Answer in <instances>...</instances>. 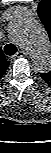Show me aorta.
<instances>
[{"instance_id":"762f6f07","label":"aorta","mask_w":51,"mask_h":153,"mask_svg":"<svg viewBox=\"0 0 51 153\" xmlns=\"http://www.w3.org/2000/svg\"><path fill=\"white\" fill-rule=\"evenodd\" d=\"M11 38L32 53L33 69L39 73L51 70V44L45 28L32 18L20 15L8 25Z\"/></svg>"}]
</instances>
